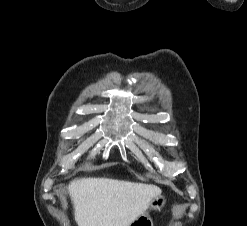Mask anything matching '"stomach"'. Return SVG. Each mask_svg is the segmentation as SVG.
Segmentation results:
<instances>
[{
	"instance_id": "obj_1",
	"label": "stomach",
	"mask_w": 247,
	"mask_h": 226,
	"mask_svg": "<svg viewBox=\"0 0 247 226\" xmlns=\"http://www.w3.org/2000/svg\"><path fill=\"white\" fill-rule=\"evenodd\" d=\"M166 204V197L161 193L155 197L149 208L152 210H161ZM129 226H153L152 219L150 218L148 212H144L137 219H135Z\"/></svg>"
}]
</instances>
